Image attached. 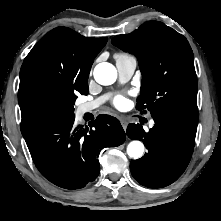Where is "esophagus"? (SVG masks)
Masks as SVG:
<instances>
[{
    "label": "esophagus",
    "instance_id": "34e87169",
    "mask_svg": "<svg viewBox=\"0 0 221 221\" xmlns=\"http://www.w3.org/2000/svg\"><path fill=\"white\" fill-rule=\"evenodd\" d=\"M121 125H122L123 129L126 130L128 122L124 119H121Z\"/></svg>",
    "mask_w": 221,
    "mask_h": 221
}]
</instances>
